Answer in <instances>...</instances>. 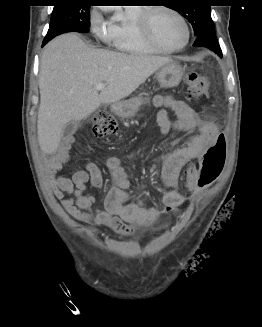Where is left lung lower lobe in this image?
Masks as SVG:
<instances>
[{
	"label": "left lung lower lobe",
	"mask_w": 262,
	"mask_h": 327,
	"mask_svg": "<svg viewBox=\"0 0 262 327\" xmlns=\"http://www.w3.org/2000/svg\"><path fill=\"white\" fill-rule=\"evenodd\" d=\"M195 47H207L222 57V51L218 45L215 28L207 29L196 37Z\"/></svg>",
	"instance_id": "obj_1"
}]
</instances>
